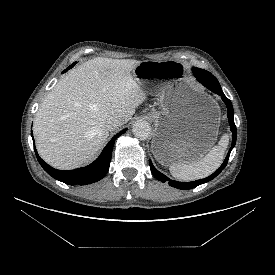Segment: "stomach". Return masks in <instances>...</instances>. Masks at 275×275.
<instances>
[{"mask_svg": "<svg viewBox=\"0 0 275 275\" xmlns=\"http://www.w3.org/2000/svg\"><path fill=\"white\" fill-rule=\"evenodd\" d=\"M179 61H142L133 69L140 85L152 84L161 111L148 117L155 124L152 152L168 166L200 160L217 140L220 110L208 95L197 91Z\"/></svg>", "mask_w": 275, "mask_h": 275, "instance_id": "stomach-1", "label": "stomach"}]
</instances>
